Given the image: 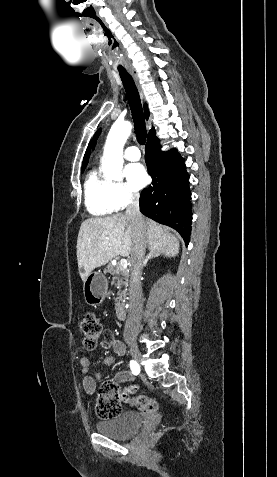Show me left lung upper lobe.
<instances>
[{
	"label": "left lung upper lobe",
	"instance_id": "obj_1",
	"mask_svg": "<svg viewBox=\"0 0 277 477\" xmlns=\"http://www.w3.org/2000/svg\"><path fill=\"white\" fill-rule=\"evenodd\" d=\"M100 132H101V130L99 129V130H98V131L95 133V135H94V137H93L94 144H95V142H96V139L98 138V136H99Z\"/></svg>",
	"mask_w": 277,
	"mask_h": 477
}]
</instances>
